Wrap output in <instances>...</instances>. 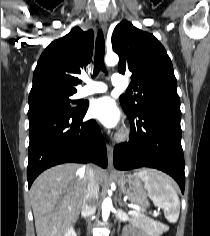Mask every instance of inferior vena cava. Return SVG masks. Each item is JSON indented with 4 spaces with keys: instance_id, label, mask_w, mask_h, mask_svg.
I'll return each mask as SVG.
<instances>
[{
    "instance_id": "602c4592",
    "label": "inferior vena cava",
    "mask_w": 210,
    "mask_h": 236,
    "mask_svg": "<svg viewBox=\"0 0 210 236\" xmlns=\"http://www.w3.org/2000/svg\"><path fill=\"white\" fill-rule=\"evenodd\" d=\"M87 189L86 194L83 199L82 204V214L86 217H91L95 211L98 201V193H99V182L97 181L94 169L90 166H88V172H87ZM91 224L88 222V230H90Z\"/></svg>"
}]
</instances>
